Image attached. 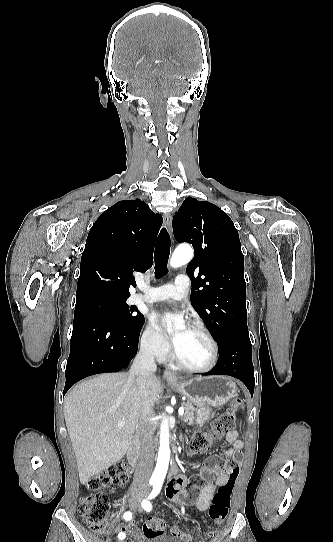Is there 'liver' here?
Listing matches in <instances>:
<instances>
[{
    "mask_svg": "<svg viewBox=\"0 0 333 542\" xmlns=\"http://www.w3.org/2000/svg\"><path fill=\"white\" fill-rule=\"evenodd\" d=\"M148 390L154 406L162 392V384L156 376ZM64 416L79 480L85 486L91 476L124 458L136 428L146 416L136 374H101L81 382L67 394ZM122 420L125 426H117Z\"/></svg>",
    "mask_w": 333,
    "mask_h": 542,
    "instance_id": "1",
    "label": "liver"
}]
</instances>
